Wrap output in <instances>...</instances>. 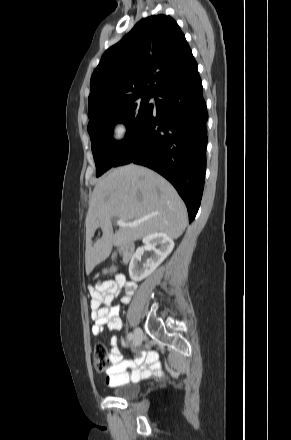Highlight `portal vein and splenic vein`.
Masks as SVG:
<instances>
[{
  "mask_svg": "<svg viewBox=\"0 0 291 440\" xmlns=\"http://www.w3.org/2000/svg\"><path fill=\"white\" fill-rule=\"evenodd\" d=\"M141 222H142V220L135 221L133 223H125L123 220H117V225L119 227H135L138 224H140Z\"/></svg>",
  "mask_w": 291,
  "mask_h": 440,
  "instance_id": "18ae733b",
  "label": "portal vein and splenic vein"
}]
</instances>
